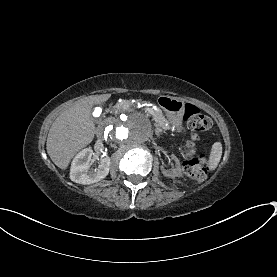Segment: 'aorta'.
Returning a JSON list of instances; mask_svg holds the SVG:
<instances>
[{"mask_svg": "<svg viewBox=\"0 0 277 277\" xmlns=\"http://www.w3.org/2000/svg\"><path fill=\"white\" fill-rule=\"evenodd\" d=\"M108 130L110 138L124 147L142 146L153 134V126L149 118L138 112L115 118Z\"/></svg>", "mask_w": 277, "mask_h": 277, "instance_id": "aorta-1", "label": "aorta"}]
</instances>
